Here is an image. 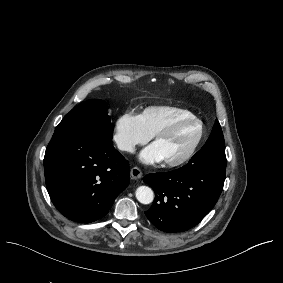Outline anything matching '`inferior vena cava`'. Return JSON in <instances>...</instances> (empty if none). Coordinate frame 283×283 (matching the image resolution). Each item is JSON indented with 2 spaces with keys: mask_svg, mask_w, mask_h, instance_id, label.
<instances>
[{
  "mask_svg": "<svg viewBox=\"0 0 283 283\" xmlns=\"http://www.w3.org/2000/svg\"><path fill=\"white\" fill-rule=\"evenodd\" d=\"M122 150L131 151V150H133V146L130 145V144H126V145L123 146Z\"/></svg>",
  "mask_w": 283,
  "mask_h": 283,
  "instance_id": "obj_1",
  "label": "inferior vena cava"
}]
</instances>
